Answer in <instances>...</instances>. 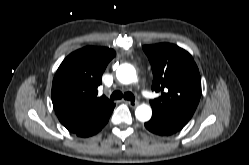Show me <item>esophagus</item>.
Wrapping results in <instances>:
<instances>
[{"label":"esophagus","mask_w":249,"mask_h":165,"mask_svg":"<svg viewBox=\"0 0 249 165\" xmlns=\"http://www.w3.org/2000/svg\"><path fill=\"white\" fill-rule=\"evenodd\" d=\"M130 107H137L139 105L138 101H128L127 102Z\"/></svg>","instance_id":"1"}]
</instances>
